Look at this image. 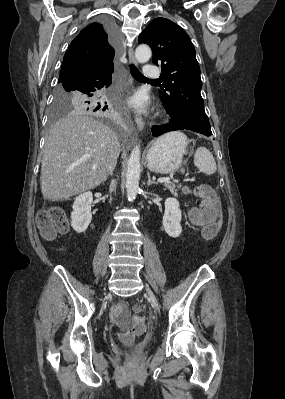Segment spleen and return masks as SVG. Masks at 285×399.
I'll return each instance as SVG.
<instances>
[{
    "instance_id": "1",
    "label": "spleen",
    "mask_w": 285,
    "mask_h": 399,
    "mask_svg": "<svg viewBox=\"0 0 285 399\" xmlns=\"http://www.w3.org/2000/svg\"><path fill=\"white\" fill-rule=\"evenodd\" d=\"M194 165L207 175L216 172L217 166L212 153L206 147H199L194 155Z\"/></svg>"
}]
</instances>
